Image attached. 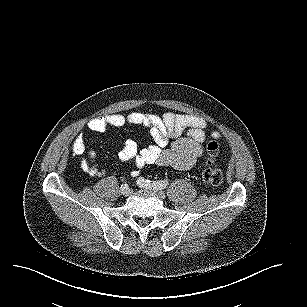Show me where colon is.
<instances>
[{
    "label": "colon",
    "instance_id": "5ec220e1",
    "mask_svg": "<svg viewBox=\"0 0 307 307\" xmlns=\"http://www.w3.org/2000/svg\"><path fill=\"white\" fill-rule=\"evenodd\" d=\"M218 143L210 140L206 144L205 168L202 171V181L210 186L217 187L223 182V173L220 169L213 167L214 159L218 154Z\"/></svg>",
    "mask_w": 307,
    "mask_h": 307
}]
</instances>
